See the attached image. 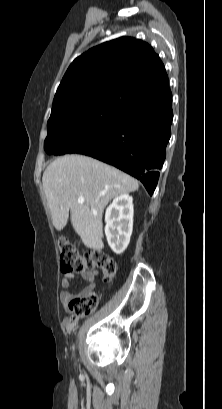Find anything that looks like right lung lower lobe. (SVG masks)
Segmentation results:
<instances>
[{
  "instance_id": "obj_1",
  "label": "right lung lower lobe",
  "mask_w": 222,
  "mask_h": 409,
  "mask_svg": "<svg viewBox=\"0 0 222 409\" xmlns=\"http://www.w3.org/2000/svg\"><path fill=\"white\" fill-rule=\"evenodd\" d=\"M172 93L119 104L101 146L88 156L140 180L153 194L171 136Z\"/></svg>"
}]
</instances>
